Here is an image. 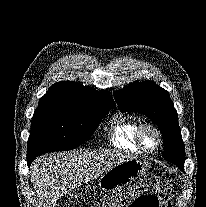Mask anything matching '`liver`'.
<instances>
[{"label":"liver","mask_w":206,"mask_h":207,"mask_svg":"<svg viewBox=\"0 0 206 207\" xmlns=\"http://www.w3.org/2000/svg\"><path fill=\"white\" fill-rule=\"evenodd\" d=\"M134 158L114 151L74 150L35 159L30 178L39 199L38 207H55L69 191Z\"/></svg>","instance_id":"obj_1"}]
</instances>
